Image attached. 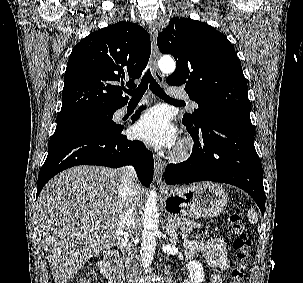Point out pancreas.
Wrapping results in <instances>:
<instances>
[{"instance_id": "1", "label": "pancreas", "mask_w": 303, "mask_h": 283, "mask_svg": "<svg viewBox=\"0 0 303 283\" xmlns=\"http://www.w3.org/2000/svg\"><path fill=\"white\" fill-rule=\"evenodd\" d=\"M175 228L180 229L182 232H192L194 229H200L202 226L198 222H194L184 217L174 216L173 218ZM207 229L209 226L206 227Z\"/></svg>"}]
</instances>
